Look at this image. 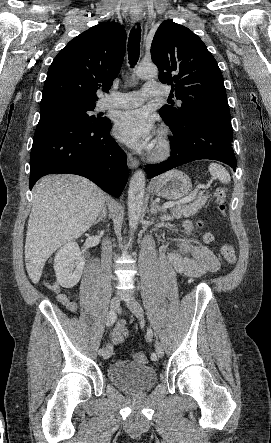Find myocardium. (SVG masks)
<instances>
[{
	"label": "myocardium",
	"instance_id": "1",
	"mask_svg": "<svg viewBox=\"0 0 271 443\" xmlns=\"http://www.w3.org/2000/svg\"><path fill=\"white\" fill-rule=\"evenodd\" d=\"M173 141L171 135L164 130L159 131L151 150V158L163 160L168 158L173 152Z\"/></svg>",
	"mask_w": 271,
	"mask_h": 443
}]
</instances>
